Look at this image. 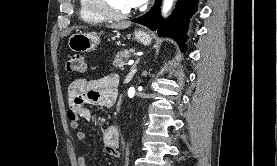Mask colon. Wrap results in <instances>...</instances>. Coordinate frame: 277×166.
<instances>
[{"label":"colon","mask_w":277,"mask_h":166,"mask_svg":"<svg viewBox=\"0 0 277 166\" xmlns=\"http://www.w3.org/2000/svg\"><path fill=\"white\" fill-rule=\"evenodd\" d=\"M66 70L71 73H83L86 70L84 56L81 54L72 55L66 62Z\"/></svg>","instance_id":"1"}]
</instances>
